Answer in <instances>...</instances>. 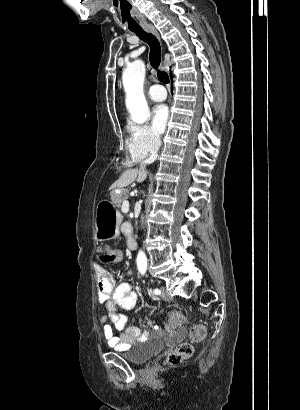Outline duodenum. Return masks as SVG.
Here are the masks:
<instances>
[{"instance_id": "obj_1", "label": "duodenum", "mask_w": 300, "mask_h": 410, "mask_svg": "<svg viewBox=\"0 0 300 410\" xmlns=\"http://www.w3.org/2000/svg\"><path fill=\"white\" fill-rule=\"evenodd\" d=\"M129 248H130V249H135V248H136V244H135L134 241H131V242L129 243Z\"/></svg>"}]
</instances>
